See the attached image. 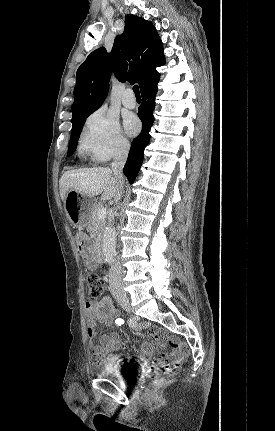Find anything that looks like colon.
Returning <instances> with one entry per match:
<instances>
[{
	"label": "colon",
	"instance_id": "obj_1",
	"mask_svg": "<svg viewBox=\"0 0 275 431\" xmlns=\"http://www.w3.org/2000/svg\"><path fill=\"white\" fill-rule=\"evenodd\" d=\"M86 282L88 287V296L91 300H97L105 290V281L95 272H89L86 275ZM181 356L185 357L188 353V347L185 344H180ZM176 367L179 363L174 364ZM165 369L164 365L154 363L147 369V375L153 378L154 387L158 388L163 384V378L161 377V370Z\"/></svg>",
	"mask_w": 275,
	"mask_h": 431
}]
</instances>
